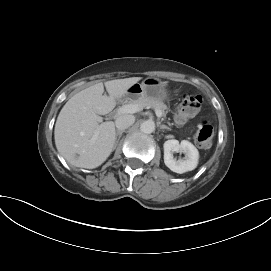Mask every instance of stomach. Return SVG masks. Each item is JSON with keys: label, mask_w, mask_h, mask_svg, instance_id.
<instances>
[{"label": "stomach", "mask_w": 271, "mask_h": 271, "mask_svg": "<svg viewBox=\"0 0 271 271\" xmlns=\"http://www.w3.org/2000/svg\"><path fill=\"white\" fill-rule=\"evenodd\" d=\"M140 97L153 98L159 101L168 98L165 82L155 77H148L141 83L133 84L125 95V98L135 100Z\"/></svg>", "instance_id": "stomach-1"}]
</instances>
